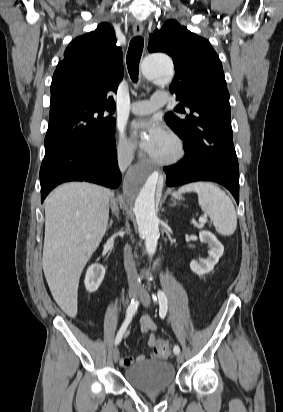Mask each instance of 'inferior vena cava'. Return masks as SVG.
Masks as SVG:
<instances>
[{
	"label": "inferior vena cava",
	"instance_id": "obj_1",
	"mask_svg": "<svg viewBox=\"0 0 283 412\" xmlns=\"http://www.w3.org/2000/svg\"><path fill=\"white\" fill-rule=\"evenodd\" d=\"M134 154L131 146L119 148L118 150V166L121 172H124L133 161ZM112 210L117 214L118 207L115 199H111ZM124 266L128 277L130 287L139 286L136 276V267L133 261L132 251L129 245L124 248Z\"/></svg>",
	"mask_w": 283,
	"mask_h": 412
}]
</instances>
